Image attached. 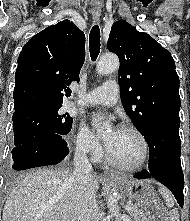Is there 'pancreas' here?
I'll return each mask as SVG.
<instances>
[{"label":"pancreas","instance_id":"obj_1","mask_svg":"<svg viewBox=\"0 0 190 221\" xmlns=\"http://www.w3.org/2000/svg\"><path fill=\"white\" fill-rule=\"evenodd\" d=\"M130 205L133 207V209L129 211V214L134 221H148L146 215L138 209L137 205Z\"/></svg>","mask_w":190,"mask_h":221}]
</instances>
